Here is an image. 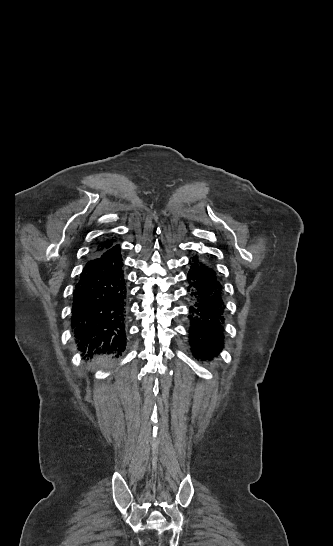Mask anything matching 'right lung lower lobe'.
Returning a JSON list of instances; mask_svg holds the SVG:
<instances>
[{
	"label": "right lung lower lobe",
	"instance_id": "1",
	"mask_svg": "<svg viewBox=\"0 0 333 546\" xmlns=\"http://www.w3.org/2000/svg\"><path fill=\"white\" fill-rule=\"evenodd\" d=\"M127 280L118 245L92 256L73 292L71 328L82 355L123 352Z\"/></svg>",
	"mask_w": 333,
	"mask_h": 546
}]
</instances>
